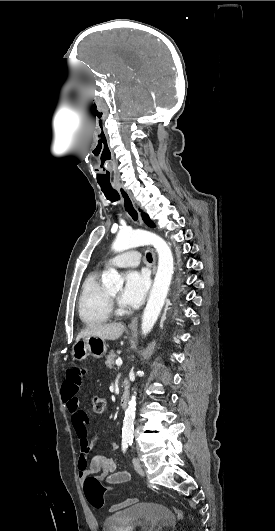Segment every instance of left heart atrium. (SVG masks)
I'll return each mask as SVG.
<instances>
[{"label":"left heart atrium","mask_w":275,"mask_h":531,"mask_svg":"<svg viewBox=\"0 0 275 531\" xmlns=\"http://www.w3.org/2000/svg\"><path fill=\"white\" fill-rule=\"evenodd\" d=\"M150 279L144 269H130L125 274L124 288L120 294V301L125 306L138 307L149 288Z\"/></svg>","instance_id":"left-heart-atrium-1"}]
</instances>
